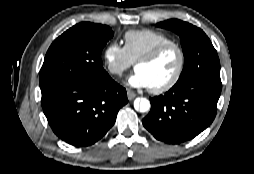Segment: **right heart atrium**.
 <instances>
[{
  "mask_svg": "<svg viewBox=\"0 0 254 174\" xmlns=\"http://www.w3.org/2000/svg\"><path fill=\"white\" fill-rule=\"evenodd\" d=\"M103 61L111 75L120 76L133 66V61L124 46L113 41L103 51Z\"/></svg>",
  "mask_w": 254,
  "mask_h": 174,
  "instance_id": "d8ad5b80",
  "label": "right heart atrium"
}]
</instances>
